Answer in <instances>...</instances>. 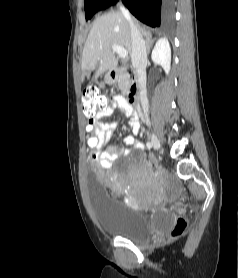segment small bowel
Segmentation results:
<instances>
[{"label": "small bowel", "mask_w": 238, "mask_h": 278, "mask_svg": "<svg viewBox=\"0 0 238 278\" xmlns=\"http://www.w3.org/2000/svg\"><path fill=\"white\" fill-rule=\"evenodd\" d=\"M113 101L114 104L129 118V125L132 131V135H126L122 139V142L130 149H142V143L135 139V136L140 131L138 114L127 104L122 96H115ZM112 113L113 109L107 108L97 116V120L94 122V133L99 132L100 137L94 138V141H99V146H97L96 153L92 160L103 168H110L115 160L129 153V150H123L115 146L106 147L116 128L120 124V120L112 122H106L103 120L112 115Z\"/></svg>", "instance_id": "1"}]
</instances>
